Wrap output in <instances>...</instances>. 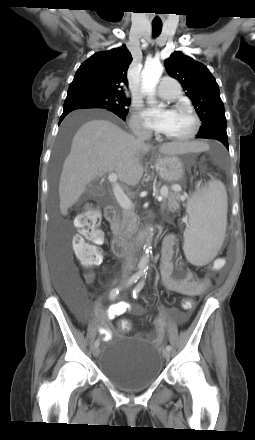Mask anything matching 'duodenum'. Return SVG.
Wrapping results in <instances>:
<instances>
[{"label": "duodenum", "instance_id": "obj_1", "mask_svg": "<svg viewBox=\"0 0 255 440\" xmlns=\"http://www.w3.org/2000/svg\"><path fill=\"white\" fill-rule=\"evenodd\" d=\"M104 216L108 222L112 223L116 218L115 208L111 205L106 206L104 210ZM150 235V231L142 232L136 244L129 243L128 241L120 237H115L112 240V251L118 257L126 256L130 254L135 248L142 245Z\"/></svg>", "mask_w": 255, "mask_h": 440}]
</instances>
